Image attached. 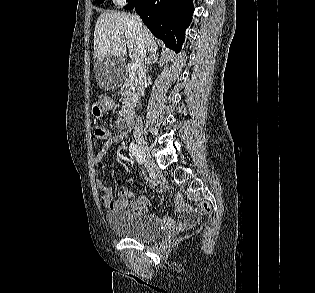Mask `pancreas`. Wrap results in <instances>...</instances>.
Masks as SVG:
<instances>
[{
	"instance_id": "cf45deb5",
	"label": "pancreas",
	"mask_w": 315,
	"mask_h": 293,
	"mask_svg": "<svg viewBox=\"0 0 315 293\" xmlns=\"http://www.w3.org/2000/svg\"><path fill=\"white\" fill-rule=\"evenodd\" d=\"M139 84L135 76H130L124 83L120 95L123 97V108L121 114H129L137 102Z\"/></svg>"
}]
</instances>
